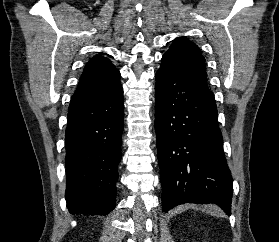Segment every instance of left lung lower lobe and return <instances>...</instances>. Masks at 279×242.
Returning <instances> with one entry per match:
<instances>
[{
	"label": "left lung lower lobe",
	"instance_id": "0a47b994",
	"mask_svg": "<svg viewBox=\"0 0 279 242\" xmlns=\"http://www.w3.org/2000/svg\"><path fill=\"white\" fill-rule=\"evenodd\" d=\"M155 92L162 211L184 203H215L230 215L233 180L207 82L164 54Z\"/></svg>",
	"mask_w": 279,
	"mask_h": 242
}]
</instances>
